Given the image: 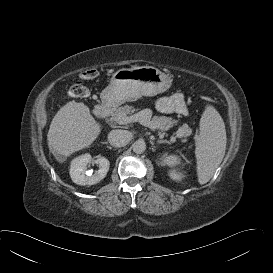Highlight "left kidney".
Segmentation results:
<instances>
[{
    "label": "left kidney",
    "mask_w": 273,
    "mask_h": 273,
    "mask_svg": "<svg viewBox=\"0 0 273 273\" xmlns=\"http://www.w3.org/2000/svg\"><path fill=\"white\" fill-rule=\"evenodd\" d=\"M169 175L175 181H180L184 177L183 174L178 173L175 170L170 171Z\"/></svg>",
    "instance_id": "obj_1"
}]
</instances>
